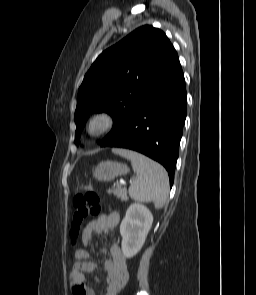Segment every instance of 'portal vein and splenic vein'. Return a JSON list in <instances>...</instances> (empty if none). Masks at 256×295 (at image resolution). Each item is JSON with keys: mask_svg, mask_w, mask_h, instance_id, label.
<instances>
[{"mask_svg": "<svg viewBox=\"0 0 256 295\" xmlns=\"http://www.w3.org/2000/svg\"><path fill=\"white\" fill-rule=\"evenodd\" d=\"M122 183H117V185H121Z\"/></svg>", "mask_w": 256, "mask_h": 295, "instance_id": "1", "label": "portal vein and splenic vein"}]
</instances>
